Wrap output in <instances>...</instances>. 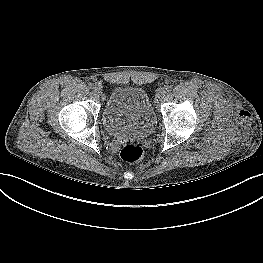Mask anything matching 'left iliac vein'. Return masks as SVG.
<instances>
[{"instance_id":"obj_1","label":"left iliac vein","mask_w":263,"mask_h":263,"mask_svg":"<svg viewBox=\"0 0 263 263\" xmlns=\"http://www.w3.org/2000/svg\"><path fill=\"white\" fill-rule=\"evenodd\" d=\"M164 97V93L162 91H160L158 94H157V98L159 100H161L162 98Z\"/></svg>"}]
</instances>
